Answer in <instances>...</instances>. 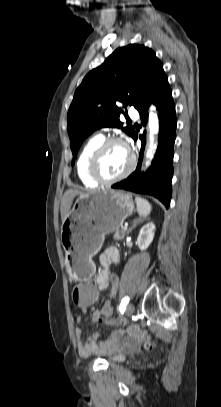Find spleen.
Here are the masks:
<instances>
[{"instance_id": "obj_1", "label": "spleen", "mask_w": 221, "mask_h": 407, "mask_svg": "<svg viewBox=\"0 0 221 407\" xmlns=\"http://www.w3.org/2000/svg\"><path fill=\"white\" fill-rule=\"evenodd\" d=\"M136 205H137V212L142 217H147L152 209L151 204L144 198L136 197L135 198Z\"/></svg>"}]
</instances>
